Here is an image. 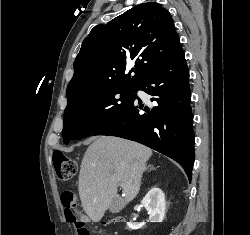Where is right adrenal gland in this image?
<instances>
[{"label": "right adrenal gland", "mask_w": 250, "mask_h": 235, "mask_svg": "<svg viewBox=\"0 0 250 235\" xmlns=\"http://www.w3.org/2000/svg\"><path fill=\"white\" fill-rule=\"evenodd\" d=\"M148 169H149V171H150V170H154L155 168H154L152 165H149V166H148Z\"/></svg>", "instance_id": "2a0ac1e0"}]
</instances>
